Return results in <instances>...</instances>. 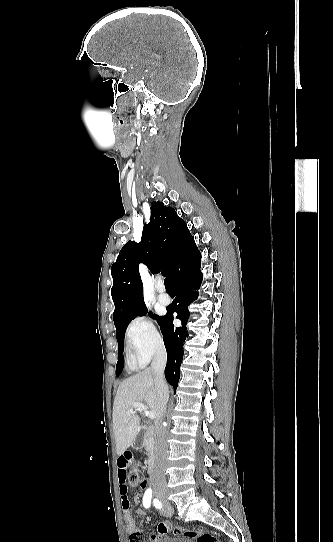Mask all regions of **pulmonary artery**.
Masks as SVG:
<instances>
[{
    "label": "pulmonary artery",
    "instance_id": "e3ab8cb5",
    "mask_svg": "<svg viewBox=\"0 0 333 542\" xmlns=\"http://www.w3.org/2000/svg\"><path fill=\"white\" fill-rule=\"evenodd\" d=\"M160 290L163 292L165 289L162 287ZM163 298H164L165 300H162V299H161V300H160L161 303H162L163 305H165V306L168 305V304L170 303V301L166 300L168 297L165 295Z\"/></svg>",
    "mask_w": 333,
    "mask_h": 542
}]
</instances>
